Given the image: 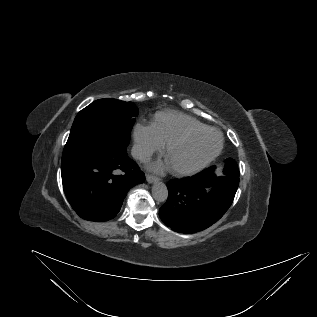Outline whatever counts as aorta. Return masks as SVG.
<instances>
[{
  "instance_id": "obj_1",
  "label": "aorta",
  "mask_w": 317,
  "mask_h": 317,
  "mask_svg": "<svg viewBox=\"0 0 317 317\" xmlns=\"http://www.w3.org/2000/svg\"><path fill=\"white\" fill-rule=\"evenodd\" d=\"M152 196L158 202H164L168 198V189L162 182L154 183L152 187Z\"/></svg>"
}]
</instances>
